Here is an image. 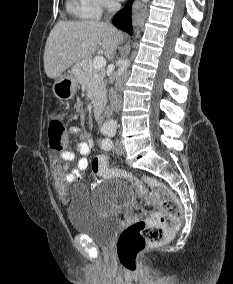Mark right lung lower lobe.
I'll use <instances>...</instances> for the list:
<instances>
[{
    "label": "right lung lower lobe",
    "mask_w": 233,
    "mask_h": 284,
    "mask_svg": "<svg viewBox=\"0 0 233 284\" xmlns=\"http://www.w3.org/2000/svg\"><path fill=\"white\" fill-rule=\"evenodd\" d=\"M133 0H129L125 7L113 18V24L119 29L132 34L131 7Z\"/></svg>",
    "instance_id": "obj_1"
}]
</instances>
